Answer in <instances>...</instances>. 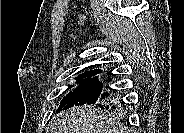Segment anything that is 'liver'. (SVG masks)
Wrapping results in <instances>:
<instances>
[{
  "mask_svg": "<svg viewBox=\"0 0 184 133\" xmlns=\"http://www.w3.org/2000/svg\"><path fill=\"white\" fill-rule=\"evenodd\" d=\"M55 133H122L109 118L91 106L73 107L53 119Z\"/></svg>",
  "mask_w": 184,
  "mask_h": 133,
  "instance_id": "obj_1",
  "label": "liver"
}]
</instances>
